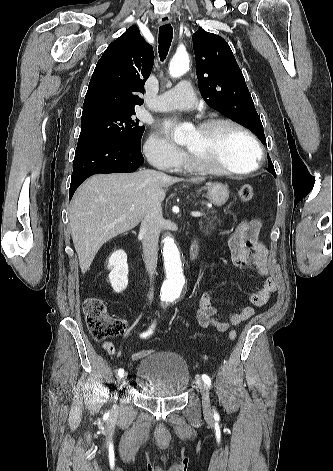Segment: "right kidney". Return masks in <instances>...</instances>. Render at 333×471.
<instances>
[{"mask_svg": "<svg viewBox=\"0 0 333 471\" xmlns=\"http://www.w3.org/2000/svg\"><path fill=\"white\" fill-rule=\"evenodd\" d=\"M108 268L111 270L109 280L116 293L123 292L128 285L127 255L123 250L115 251L109 258Z\"/></svg>", "mask_w": 333, "mask_h": 471, "instance_id": "ca27d5eb", "label": "right kidney"}]
</instances>
